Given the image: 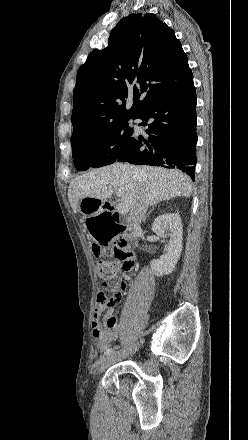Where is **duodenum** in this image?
Returning a JSON list of instances; mask_svg holds the SVG:
<instances>
[{"mask_svg":"<svg viewBox=\"0 0 248 440\" xmlns=\"http://www.w3.org/2000/svg\"><path fill=\"white\" fill-rule=\"evenodd\" d=\"M104 208L110 209L112 211L113 204L110 201L104 202ZM112 215L113 226L111 228H115L116 233L120 235V243L122 246L129 250H133L137 246V234L135 232L128 231V228L124 224L120 214L114 212Z\"/></svg>","mask_w":248,"mask_h":440,"instance_id":"obj_1","label":"duodenum"}]
</instances>
